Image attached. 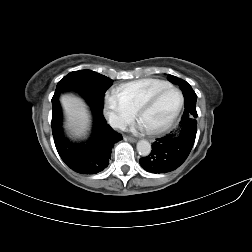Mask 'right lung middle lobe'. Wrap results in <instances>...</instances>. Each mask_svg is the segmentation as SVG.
Wrapping results in <instances>:
<instances>
[{
  "mask_svg": "<svg viewBox=\"0 0 252 252\" xmlns=\"http://www.w3.org/2000/svg\"><path fill=\"white\" fill-rule=\"evenodd\" d=\"M112 80L91 70L73 71L57 84L52 104L58 102L59 94L74 91L81 94L92 107L103 108L104 93Z\"/></svg>",
  "mask_w": 252,
  "mask_h": 252,
  "instance_id": "1",
  "label": "right lung middle lobe"
}]
</instances>
